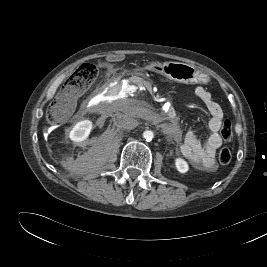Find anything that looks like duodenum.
I'll return each instance as SVG.
<instances>
[{
	"label": "duodenum",
	"instance_id": "duodenum-1",
	"mask_svg": "<svg viewBox=\"0 0 267 267\" xmlns=\"http://www.w3.org/2000/svg\"><path fill=\"white\" fill-rule=\"evenodd\" d=\"M124 92V87L120 83H113L111 88L106 92V98L109 101H114L116 98H119ZM163 114L168 118L174 120L176 113L174 108L168 107L163 111Z\"/></svg>",
	"mask_w": 267,
	"mask_h": 267
}]
</instances>
